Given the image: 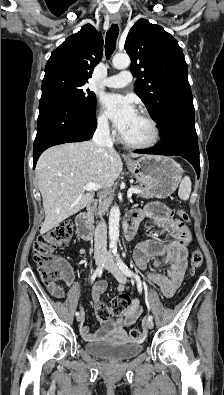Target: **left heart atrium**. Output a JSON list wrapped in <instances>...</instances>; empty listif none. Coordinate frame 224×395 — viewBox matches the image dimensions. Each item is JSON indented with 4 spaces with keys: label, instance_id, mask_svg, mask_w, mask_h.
<instances>
[{
    "label": "left heart atrium",
    "instance_id": "1",
    "mask_svg": "<svg viewBox=\"0 0 224 395\" xmlns=\"http://www.w3.org/2000/svg\"><path fill=\"white\" fill-rule=\"evenodd\" d=\"M102 106L120 133L137 114L133 100L120 94H106L102 98Z\"/></svg>",
    "mask_w": 224,
    "mask_h": 395
}]
</instances>
